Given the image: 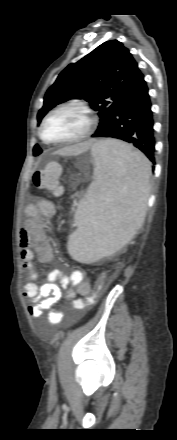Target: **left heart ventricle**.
Returning a JSON list of instances; mask_svg holds the SVG:
<instances>
[{"mask_svg":"<svg viewBox=\"0 0 177 440\" xmlns=\"http://www.w3.org/2000/svg\"><path fill=\"white\" fill-rule=\"evenodd\" d=\"M86 127V119L78 112L63 110L55 113L44 127V137L59 141L79 135Z\"/></svg>","mask_w":177,"mask_h":440,"instance_id":"obj_1","label":"left heart ventricle"}]
</instances>
